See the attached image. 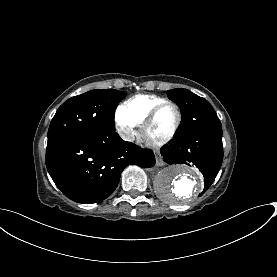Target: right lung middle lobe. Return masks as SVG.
Returning <instances> with one entry per match:
<instances>
[{"label": "right lung middle lobe", "instance_id": "dd1d6c3e", "mask_svg": "<svg viewBox=\"0 0 277 277\" xmlns=\"http://www.w3.org/2000/svg\"><path fill=\"white\" fill-rule=\"evenodd\" d=\"M125 93L114 89L91 90L63 103L48 130V143L99 130L115 131L114 114Z\"/></svg>", "mask_w": 277, "mask_h": 277}]
</instances>
